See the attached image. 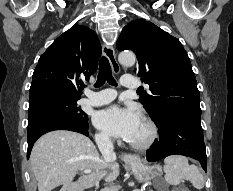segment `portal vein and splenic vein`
Instances as JSON below:
<instances>
[{
  "label": "portal vein and splenic vein",
  "instance_id": "18ae733b",
  "mask_svg": "<svg viewBox=\"0 0 233 191\" xmlns=\"http://www.w3.org/2000/svg\"><path fill=\"white\" fill-rule=\"evenodd\" d=\"M84 173H85V174H90V173H91V170L86 169V170H84Z\"/></svg>",
  "mask_w": 233,
  "mask_h": 191
}]
</instances>
